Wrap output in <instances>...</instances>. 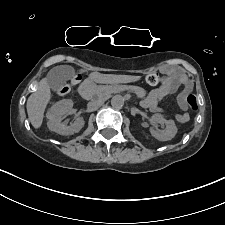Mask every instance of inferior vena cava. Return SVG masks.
<instances>
[{
    "instance_id": "inferior-vena-cava-1",
    "label": "inferior vena cava",
    "mask_w": 225,
    "mask_h": 225,
    "mask_svg": "<svg viewBox=\"0 0 225 225\" xmlns=\"http://www.w3.org/2000/svg\"><path fill=\"white\" fill-rule=\"evenodd\" d=\"M102 100H103L102 97H97V98L93 99L91 102H89V105H91V106L96 105V104L100 103Z\"/></svg>"
}]
</instances>
